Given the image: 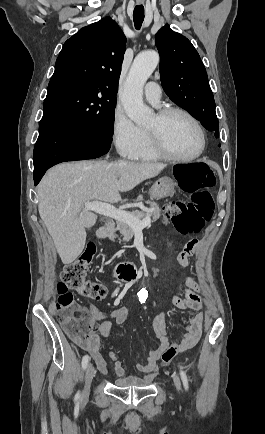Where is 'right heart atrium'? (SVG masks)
<instances>
[{"label": "right heart atrium", "instance_id": "d8ad5b80", "mask_svg": "<svg viewBox=\"0 0 265 434\" xmlns=\"http://www.w3.org/2000/svg\"><path fill=\"white\" fill-rule=\"evenodd\" d=\"M116 115L113 116L110 128L113 133L112 146L118 148L120 159H130L132 154L137 153V146L131 145L133 141L140 140L142 127L130 118L125 106H116Z\"/></svg>", "mask_w": 265, "mask_h": 434}]
</instances>
